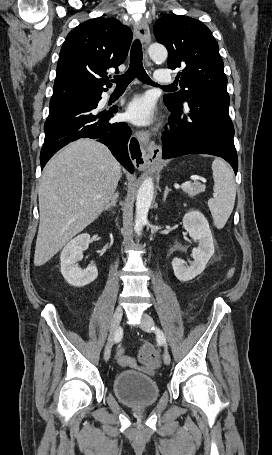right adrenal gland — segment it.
<instances>
[{
	"label": "right adrenal gland",
	"instance_id": "2a0ac1e0",
	"mask_svg": "<svg viewBox=\"0 0 272 455\" xmlns=\"http://www.w3.org/2000/svg\"><path fill=\"white\" fill-rule=\"evenodd\" d=\"M118 197V192L114 193V195L111 197V202L105 207V211L110 210L117 205Z\"/></svg>",
	"mask_w": 272,
	"mask_h": 455
}]
</instances>
